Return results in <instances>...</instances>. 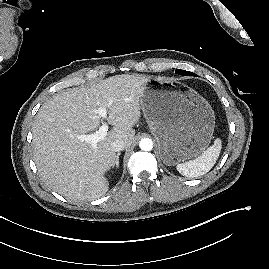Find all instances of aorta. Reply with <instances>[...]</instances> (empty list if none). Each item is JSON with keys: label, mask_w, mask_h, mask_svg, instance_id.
<instances>
[{"label": "aorta", "mask_w": 269, "mask_h": 269, "mask_svg": "<svg viewBox=\"0 0 269 269\" xmlns=\"http://www.w3.org/2000/svg\"><path fill=\"white\" fill-rule=\"evenodd\" d=\"M139 147L141 150L143 151H150L153 148V142L151 139L149 138H143L141 139V141L139 142Z\"/></svg>", "instance_id": "762f6f07"}]
</instances>
